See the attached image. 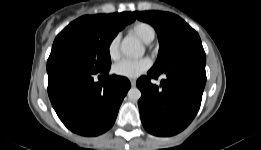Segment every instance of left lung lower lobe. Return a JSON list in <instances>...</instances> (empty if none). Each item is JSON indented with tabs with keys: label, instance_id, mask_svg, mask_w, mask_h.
<instances>
[{
	"label": "left lung lower lobe",
	"instance_id": "obj_1",
	"mask_svg": "<svg viewBox=\"0 0 261 150\" xmlns=\"http://www.w3.org/2000/svg\"><path fill=\"white\" fill-rule=\"evenodd\" d=\"M206 55L203 47L177 54L162 68H151L137 80L138 101L144 128L156 136H171L184 130L197 114L206 83ZM165 74L160 86L151 83Z\"/></svg>",
	"mask_w": 261,
	"mask_h": 150
}]
</instances>
